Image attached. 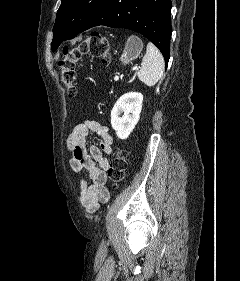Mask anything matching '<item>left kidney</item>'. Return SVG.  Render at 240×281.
Listing matches in <instances>:
<instances>
[{"instance_id":"obj_1","label":"left kidney","mask_w":240,"mask_h":281,"mask_svg":"<svg viewBox=\"0 0 240 281\" xmlns=\"http://www.w3.org/2000/svg\"><path fill=\"white\" fill-rule=\"evenodd\" d=\"M143 95L129 92L122 95L111 111V125L119 139H126L140 118ZM124 113L123 116H120Z\"/></svg>"}]
</instances>
